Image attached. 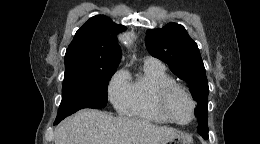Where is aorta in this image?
Wrapping results in <instances>:
<instances>
[{
    "instance_id": "762f6f07",
    "label": "aorta",
    "mask_w": 260,
    "mask_h": 144,
    "mask_svg": "<svg viewBox=\"0 0 260 144\" xmlns=\"http://www.w3.org/2000/svg\"><path fill=\"white\" fill-rule=\"evenodd\" d=\"M132 42V37L129 35L126 39V43L130 44Z\"/></svg>"
}]
</instances>
